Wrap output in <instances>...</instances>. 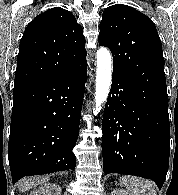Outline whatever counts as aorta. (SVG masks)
I'll use <instances>...</instances> for the list:
<instances>
[{"label": "aorta", "instance_id": "762f6f07", "mask_svg": "<svg viewBox=\"0 0 178 195\" xmlns=\"http://www.w3.org/2000/svg\"><path fill=\"white\" fill-rule=\"evenodd\" d=\"M97 76L95 88V108L94 115L101 110L102 104L106 101L112 80V61L110 51L106 48H100L97 51Z\"/></svg>", "mask_w": 178, "mask_h": 195}]
</instances>
